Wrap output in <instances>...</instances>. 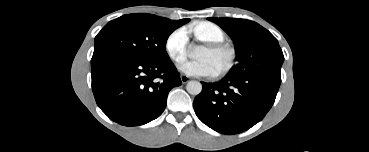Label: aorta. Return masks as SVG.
I'll return each mask as SVG.
<instances>
[{"instance_id":"aorta-1","label":"aorta","mask_w":369,"mask_h":152,"mask_svg":"<svg viewBox=\"0 0 369 152\" xmlns=\"http://www.w3.org/2000/svg\"><path fill=\"white\" fill-rule=\"evenodd\" d=\"M200 47H196L193 49V54H199ZM186 90L191 95H198L202 91V84L198 81H189L186 85Z\"/></svg>"}]
</instances>
